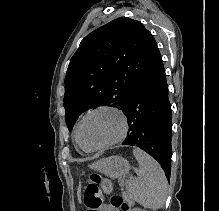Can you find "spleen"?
Segmentation results:
<instances>
[{
  "label": "spleen",
  "mask_w": 219,
  "mask_h": 211,
  "mask_svg": "<svg viewBox=\"0 0 219 211\" xmlns=\"http://www.w3.org/2000/svg\"><path fill=\"white\" fill-rule=\"evenodd\" d=\"M133 153L139 163V169H136L139 177L129 179L128 193H130L131 199L138 201L144 207L159 209L165 203L167 195L165 173L156 159H153L143 149L135 147Z\"/></svg>",
  "instance_id": "spleen-1"
}]
</instances>
